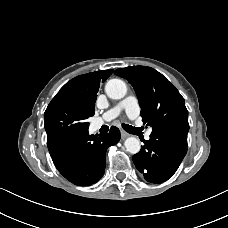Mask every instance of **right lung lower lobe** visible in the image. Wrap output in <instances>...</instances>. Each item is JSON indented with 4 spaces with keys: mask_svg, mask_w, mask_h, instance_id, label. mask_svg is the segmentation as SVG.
<instances>
[{
    "mask_svg": "<svg viewBox=\"0 0 228 228\" xmlns=\"http://www.w3.org/2000/svg\"><path fill=\"white\" fill-rule=\"evenodd\" d=\"M119 140L120 131L113 126L109 133L99 136L85 130L68 133L47 144L58 171L75 185L88 186L101 179L106 150Z\"/></svg>",
    "mask_w": 228,
    "mask_h": 228,
    "instance_id": "obj_1",
    "label": "right lung lower lobe"
}]
</instances>
